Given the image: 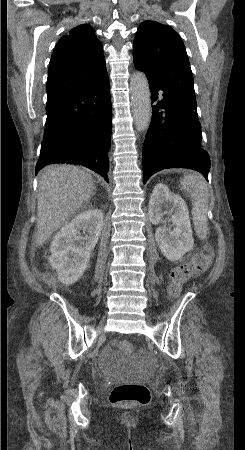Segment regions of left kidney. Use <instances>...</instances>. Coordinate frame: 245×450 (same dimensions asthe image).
Returning a JSON list of instances; mask_svg holds the SVG:
<instances>
[{
    "mask_svg": "<svg viewBox=\"0 0 245 450\" xmlns=\"http://www.w3.org/2000/svg\"><path fill=\"white\" fill-rule=\"evenodd\" d=\"M163 207L172 216L173 230L168 234L166 227H159L155 232V240L163 256L168 260L177 261L189 252L194 245L189 212L186 202L170 192L164 184L155 186L149 201V219L152 224H159L164 216Z\"/></svg>",
    "mask_w": 245,
    "mask_h": 450,
    "instance_id": "obj_1",
    "label": "left kidney"
}]
</instances>
